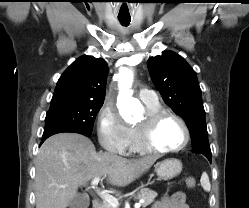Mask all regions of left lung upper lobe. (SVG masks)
Here are the masks:
<instances>
[{"label":"left lung upper lobe","mask_w":249,"mask_h":208,"mask_svg":"<svg viewBox=\"0 0 249 208\" xmlns=\"http://www.w3.org/2000/svg\"><path fill=\"white\" fill-rule=\"evenodd\" d=\"M148 69L164 102L189 128L193 150L211 153L201 90L194 70L172 51L149 58Z\"/></svg>","instance_id":"obj_1"}]
</instances>
